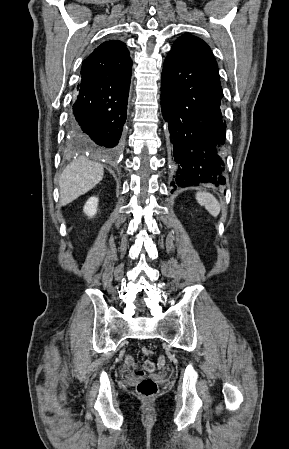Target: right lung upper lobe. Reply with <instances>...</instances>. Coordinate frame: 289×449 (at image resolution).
<instances>
[{
    "mask_svg": "<svg viewBox=\"0 0 289 449\" xmlns=\"http://www.w3.org/2000/svg\"><path fill=\"white\" fill-rule=\"evenodd\" d=\"M132 64L130 53L121 41L110 40L97 47L84 61L82 76H103Z\"/></svg>",
    "mask_w": 289,
    "mask_h": 449,
    "instance_id": "right-lung-upper-lobe-1",
    "label": "right lung upper lobe"
}]
</instances>
